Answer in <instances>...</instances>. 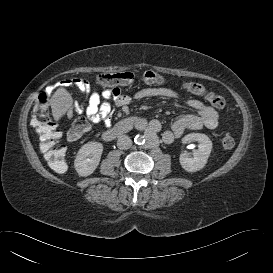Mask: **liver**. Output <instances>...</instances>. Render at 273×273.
Here are the masks:
<instances>
[{"label": "liver", "instance_id": "6515ba94", "mask_svg": "<svg viewBox=\"0 0 273 273\" xmlns=\"http://www.w3.org/2000/svg\"><path fill=\"white\" fill-rule=\"evenodd\" d=\"M52 115L58 121L63 115L67 114L68 118L73 116V99L70 93L64 88H59L53 94L50 101Z\"/></svg>", "mask_w": 273, "mask_h": 273}]
</instances>
